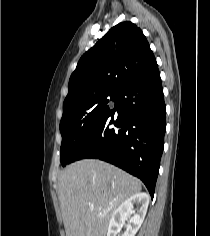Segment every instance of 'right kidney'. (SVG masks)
Returning a JSON list of instances; mask_svg holds the SVG:
<instances>
[{"instance_id":"right-kidney-1","label":"right kidney","mask_w":210,"mask_h":236,"mask_svg":"<svg viewBox=\"0 0 210 236\" xmlns=\"http://www.w3.org/2000/svg\"><path fill=\"white\" fill-rule=\"evenodd\" d=\"M150 197L147 193H137L126 199L112 214L107 236H119L124 220H128L122 236H135L145 218ZM134 205L138 206L135 212Z\"/></svg>"}]
</instances>
